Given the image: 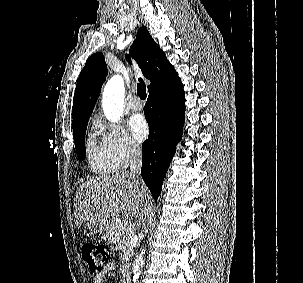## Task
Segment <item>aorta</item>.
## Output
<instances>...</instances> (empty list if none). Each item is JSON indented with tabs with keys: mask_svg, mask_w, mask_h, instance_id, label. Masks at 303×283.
<instances>
[{
	"mask_svg": "<svg viewBox=\"0 0 303 283\" xmlns=\"http://www.w3.org/2000/svg\"><path fill=\"white\" fill-rule=\"evenodd\" d=\"M124 81L119 75H114L105 85L102 105L106 118L111 122H117L123 113L124 108ZM144 249L136 256L133 264V283H138L141 269L144 265Z\"/></svg>",
	"mask_w": 303,
	"mask_h": 283,
	"instance_id": "1",
	"label": "aorta"
}]
</instances>
